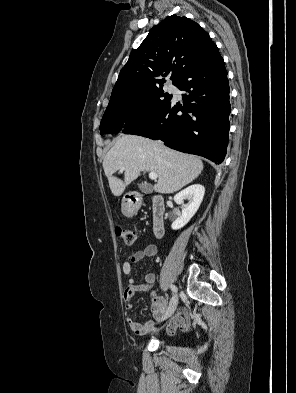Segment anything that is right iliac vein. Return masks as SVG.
Wrapping results in <instances>:
<instances>
[{"mask_svg": "<svg viewBox=\"0 0 296 393\" xmlns=\"http://www.w3.org/2000/svg\"><path fill=\"white\" fill-rule=\"evenodd\" d=\"M177 304H178V297H177V295H175L171 299L170 304H169L165 314L163 315L162 320L169 318L174 313V311L176 310Z\"/></svg>", "mask_w": 296, "mask_h": 393, "instance_id": "63e3f726", "label": "right iliac vein"}]
</instances>
